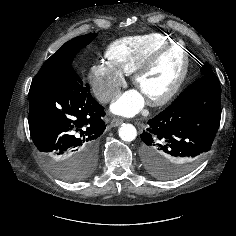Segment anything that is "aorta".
<instances>
[{
    "mask_svg": "<svg viewBox=\"0 0 236 236\" xmlns=\"http://www.w3.org/2000/svg\"><path fill=\"white\" fill-rule=\"evenodd\" d=\"M137 136V130L132 124H122L119 128V137L125 142L133 141Z\"/></svg>",
    "mask_w": 236,
    "mask_h": 236,
    "instance_id": "obj_1",
    "label": "aorta"
}]
</instances>
